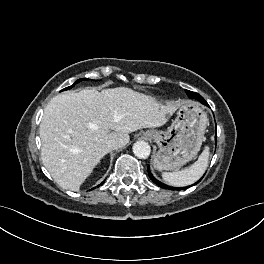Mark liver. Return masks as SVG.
<instances>
[{
    "label": "liver",
    "instance_id": "obj_1",
    "mask_svg": "<svg viewBox=\"0 0 264 264\" xmlns=\"http://www.w3.org/2000/svg\"><path fill=\"white\" fill-rule=\"evenodd\" d=\"M177 108L125 87L59 94L45 107L39 128L43 165L62 188L78 191L107 153L106 142L124 147L129 133L161 127Z\"/></svg>",
    "mask_w": 264,
    "mask_h": 264
}]
</instances>
